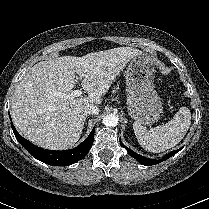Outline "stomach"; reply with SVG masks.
<instances>
[{
  "mask_svg": "<svg viewBox=\"0 0 209 209\" xmlns=\"http://www.w3.org/2000/svg\"><path fill=\"white\" fill-rule=\"evenodd\" d=\"M155 69L146 53L140 52L128 63L126 71L127 110L142 124H153L163 112L162 102L154 86Z\"/></svg>",
  "mask_w": 209,
  "mask_h": 209,
  "instance_id": "obj_1",
  "label": "stomach"
}]
</instances>
